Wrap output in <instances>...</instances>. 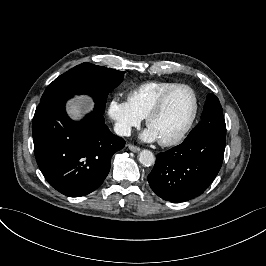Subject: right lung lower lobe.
Wrapping results in <instances>:
<instances>
[{"instance_id":"obj_1","label":"right lung lower lobe","mask_w":266,"mask_h":266,"mask_svg":"<svg viewBox=\"0 0 266 266\" xmlns=\"http://www.w3.org/2000/svg\"><path fill=\"white\" fill-rule=\"evenodd\" d=\"M71 97L57 94L40 102L32 134L36 161L48 183L68 197H80L103 183L112 155L125 141L110 132L97 106L83 120H71L65 111Z\"/></svg>"}]
</instances>
